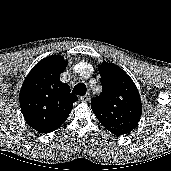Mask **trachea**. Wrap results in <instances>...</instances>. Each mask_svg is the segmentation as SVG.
Returning a JSON list of instances; mask_svg holds the SVG:
<instances>
[{
  "label": "trachea",
  "instance_id": "3493384b",
  "mask_svg": "<svg viewBox=\"0 0 171 171\" xmlns=\"http://www.w3.org/2000/svg\"><path fill=\"white\" fill-rule=\"evenodd\" d=\"M86 86L84 83H78L77 85H75V87L73 88V93L80 95V96H84L86 94Z\"/></svg>",
  "mask_w": 171,
  "mask_h": 171
}]
</instances>
